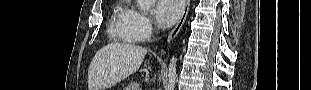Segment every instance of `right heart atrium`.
Returning <instances> with one entry per match:
<instances>
[{
    "mask_svg": "<svg viewBox=\"0 0 311 90\" xmlns=\"http://www.w3.org/2000/svg\"><path fill=\"white\" fill-rule=\"evenodd\" d=\"M128 23L138 41L148 39L154 31L151 18L147 14L133 8L129 10Z\"/></svg>",
    "mask_w": 311,
    "mask_h": 90,
    "instance_id": "right-heart-atrium-1",
    "label": "right heart atrium"
}]
</instances>
